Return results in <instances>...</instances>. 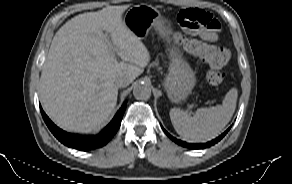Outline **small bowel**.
Returning <instances> with one entry per match:
<instances>
[{"mask_svg":"<svg viewBox=\"0 0 292 184\" xmlns=\"http://www.w3.org/2000/svg\"><path fill=\"white\" fill-rule=\"evenodd\" d=\"M217 32L218 30L202 29L196 34L201 35L206 40L214 41L217 39Z\"/></svg>","mask_w":292,"mask_h":184,"instance_id":"small-bowel-1","label":"small bowel"}]
</instances>
